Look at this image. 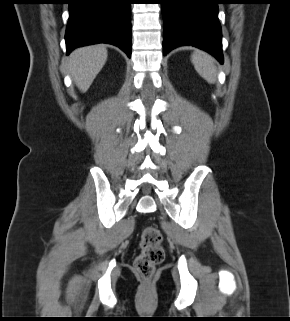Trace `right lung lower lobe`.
<instances>
[{
	"label": "right lung lower lobe",
	"instance_id": "1",
	"mask_svg": "<svg viewBox=\"0 0 290 321\" xmlns=\"http://www.w3.org/2000/svg\"><path fill=\"white\" fill-rule=\"evenodd\" d=\"M130 4L129 0H70L67 55L78 47L109 43L131 57Z\"/></svg>",
	"mask_w": 290,
	"mask_h": 321
}]
</instances>
